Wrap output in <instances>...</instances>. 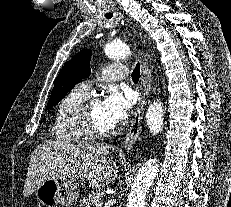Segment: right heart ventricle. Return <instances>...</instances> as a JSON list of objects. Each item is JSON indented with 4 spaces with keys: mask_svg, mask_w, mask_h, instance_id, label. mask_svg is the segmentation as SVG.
Segmentation results:
<instances>
[{
    "mask_svg": "<svg viewBox=\"0 0 231 207\" xmlns=\"http://www.w3.org/2000/svg\"><path fill=\"white\" fill-rule=\"evenodd\" d=\"M87 94L79 87L72 89L61 101L54 117L53 136L65 142H80L87 138L77 121V111Z\"/></svg>",
    "mask_w": 231,
    "mask_h": 207,
    "instance_id": "e07e8e85",
    "label": "right heart ventricle"
}]
</instances>
